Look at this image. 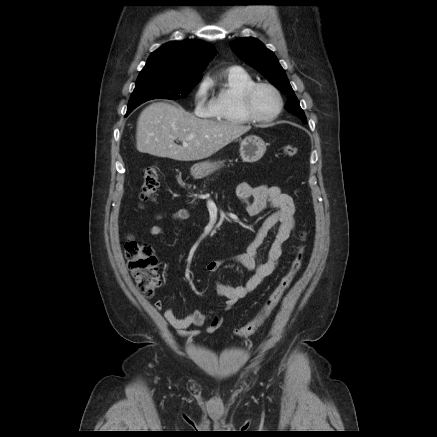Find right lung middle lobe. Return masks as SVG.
<instances>
[{
  "label": "right lung middle lobe",
  "mask_w": 437,
  "mask_h": 437,
  "mask_svg": "<svg viewBox=\"0 0 437 437\" xmlns=\"http://www.w3.org/2000/svg\"><path fill=\"white\" fill-rule=\"evenodd\" d=\"M200 79L182 78L162 70L141 72L131 94L126 115L143 102L151 99L176 100L185 98Z\"/></svg>",
  "instance_id": "1"
}]
</instances>
